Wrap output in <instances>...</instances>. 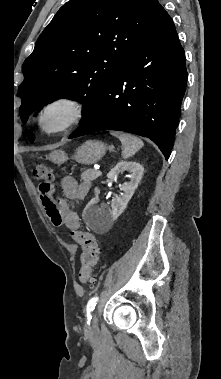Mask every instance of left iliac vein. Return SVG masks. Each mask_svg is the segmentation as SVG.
Here are the masks:
<instances>
[{
  "label": "left iliac vein",
  "instance_id": "1",
  "mask_svg": "<svg viewBox=\"0 0 221 379\" xmlns=\"http://www.w3.org/2000/svg\"><path fill=\"white\" fill-rule=\"evenodd\" d=\"M97 328H98L97 317L95 314H93V318H92L91 324L89 326V330H90V332H93V331L97 330Z\"/></svg>",
  "mask_w": 221,
  "mask_h": 379
}]
</instances>
